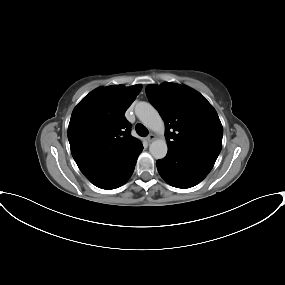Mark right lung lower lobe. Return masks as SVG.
Masks as SVG:
<instances>
[{"mask_svg":"<svg viewBox=\"0 0 285 285\" xmlns=\"http://www.w3.org/2000/svg\"><path fill=\"white\" fill-rule=\"evenodd\" d=\"M143 146L134 150L122 159L115 167L107 171L102 176L91 180V182L102 189H115L123 185L132 175L137 158Z\"/></svg>","mask_w":285,"mask_h":285,"instance_id":"98d812e1","label":"right lung lower lobe"}]
</instances>
